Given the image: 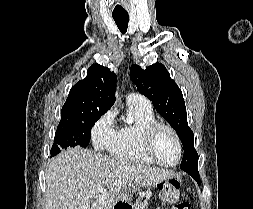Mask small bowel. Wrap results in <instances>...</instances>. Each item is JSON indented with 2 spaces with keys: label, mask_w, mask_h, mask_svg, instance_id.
<instances>
[{
  "label": "small bowel",
  "mask_w": 253,
  "mask_h": 209,
  "mask_svg": "<svg viewBox=\"0 0 253 209\" xmlns=\"http://www.w3.org/2000/svg\"><path fill=\"white\" fill-rule=\"evenodd\" d=\"M158 209H164V208H158ZM173 209H175V208H173Z\"/></svg>",
  "instance_id": "obj_1"
}]
</instances>
